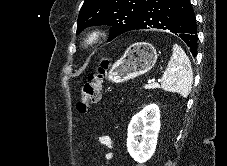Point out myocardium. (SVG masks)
Instances as JSON below:
<instances>
[{"instance_id": "obj_1", "label": "myocardium", "mask_w": 227, "mask_h": 166, "mask_svg": "<svg viewBox=\"0 0 227 166\" xmlns=\"http://www.w3.org/2000/svg\"><path fill=\"white\" fill-rule=\"evenodd\" d=\"M102 32L99 29L93 30L83 38V44L87 47L93 46L100 40Z\"/></svg>"}]
</instances>
